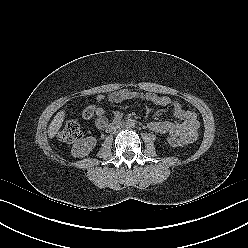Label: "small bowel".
Instances as JSON below:
<instances>
[{
	"label": "small bowel",
	"instance_id": "c3829d8e",
	"mask_svg": "<svg viewBox=\"0 0 248 248\" xmlns=\"http://www.w3.org/2000/svg\"><path fill=\"white\" fill-rule=\"evenodd\" d=\"M129 100H144L156 106H170L174 116L179 121H159L153 120L148 123V128L159 134L177 136L182 138L185 143L194 142L198 136L199 121L195 112L185 109L182 104L172 100L168 96H162L155 93H142L130 89L117 90L108 96L100 94L96 97L98 104L108 101L111 103H121ZM95 124L98 128L103 129L108 125V119L105 110L98 106L95 110Z\"/></svg>",
	"mask_w": 248,
	"mask_h": 248
}]
</instances>
